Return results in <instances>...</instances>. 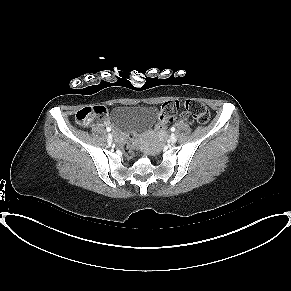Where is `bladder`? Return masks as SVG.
<instances>
[{
    "label": "bladder",
    "instance_id": "1",
    "mask_svg": "<svg viewBox=\"0 0 291 291\" xmlns=\"http://www.w3.org/2000/svg\"><path fill=\"white\" fill-rule=\"evenodd\" d=\"M155 119L156 109L146 105L117 104L110 112L111 127L121 133L146 129Z\"/></svg>",
    "mask_w": 291,
    "mask_h": 291
}]
</instances>
